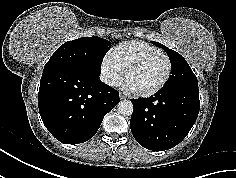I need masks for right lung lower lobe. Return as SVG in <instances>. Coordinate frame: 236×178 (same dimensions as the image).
<instances>
[{
	"label": "right lung lower lobe",
	"mask_w": 236,
	"mask_h": 178,
	"mask_svg": "<svg viewBox=\"0 0 236 178\" xmlns=\"http://www.w3.org/2000/svg\"><path fill=\"white\" fill-rule=\"evenodd\" d=\"M38 98L45 127L65 144L92 138L119 102L118 92L102 83L99 74L68 66L43 70Z\"/></svg>",
	"instance_id": "right-lung-lower-lobe-1"
}]
</instances>
